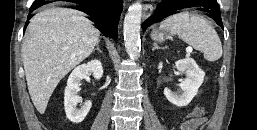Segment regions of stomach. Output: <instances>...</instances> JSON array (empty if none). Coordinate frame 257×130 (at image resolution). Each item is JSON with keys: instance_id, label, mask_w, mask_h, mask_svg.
I'll list each match as a JSON object with an SVG mask.
<instances>
[{"instance_id": "stomach-1", "label": "stomach", "mask_w": 257, "mask_h": 130, "mask_svg": "<svg viewBox=\"0 0 257 130\" xmlns=\"http://www.w3.org/2000/svg\"><path fill=\"white\" fill-rule=\"evenodd\" d=\"M151 38L156 42H163L168 38V34L164 30L154 29L151 33Z\"/></svg>"}]
</instances>
